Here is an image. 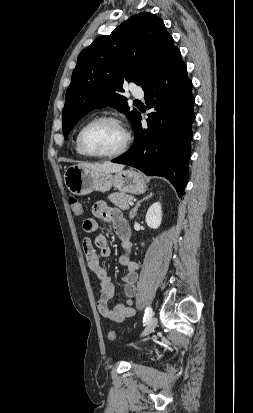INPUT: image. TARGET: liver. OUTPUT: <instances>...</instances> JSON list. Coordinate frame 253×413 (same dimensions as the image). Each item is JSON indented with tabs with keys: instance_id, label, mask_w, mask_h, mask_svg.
<instances>
[{
	"instance_id": "liver-1",
	"label": "liver",
	"mask_w": 253,
	"mask_h": 413,
	"mask_svg": "<svg viewBox=\"0 0 253 413\" xmlns=\"http://www.w3.org/2000/svg\"><path fill=\"white\" fill-rule=\"evenodd\" d=\"M78 166L86 168L96 172H105V173H115L119 172L124 168L123 164H117L112 162H103V163H79Z\"/></svg>"
}]
</instances>
